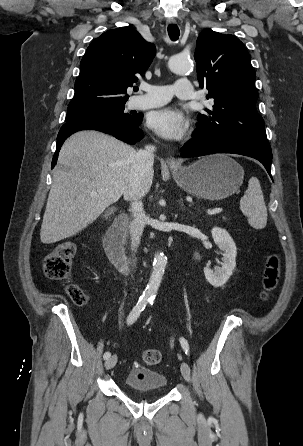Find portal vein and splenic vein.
<instances>
[{
	"mask_svg": "<svg viewBox=\"0 0 303 446\" xmlns=\"http://www.w3.org/2000/svg\"><path fill=\"white\" fill-rule=\"evenodd\" d=\"M90 195H91V196H95V195H96V192H91ZM222 211H223V209L220 208V207H218V208H215V209L210 210V211L208 212V215H215V214H218V213H220V212H222Z\"/></svg>",
	"mask_w": 303,
	"mask_h": 446,
	"instance_id": "portal-vein-and-splenic-vein-1",
	"label": "portal vein and splenic vein"
}]
</instances>
